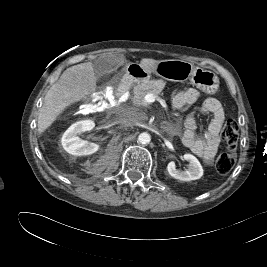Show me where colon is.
<instances>
[{
  "mask_svg": "<svg viewBox=\"0 0 267 267\" xmlns=\"http://www.w3.org/2000/svg\"><path fill=\"white\" fill-rule=\"evenodd\" d=\"M238 136L239 128L237 123L232 119L227 120L222 129V137L230 152L220 154L215 163L217 171L221 174L230 172L235 165L236 157L234 151L237 148Z\"/></svg>",
  "mask_w": 267,
  "mask_h": 267,
  "instance_id": "5ec220e1",
  "label": "colon"
}]
</instances>
